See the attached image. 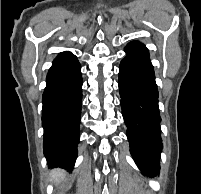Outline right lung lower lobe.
<instances>
[{
	"label": "right lung lower lobe",
	"mask_w": 201,
	"mask_h": 194,
	"mask_svg": "<svg viewBox=\"0 0 201 194\" xmlns=\"http://www.w3.org/2000/svg\"><path fill=\"white\" fill-rule=\"evenodd\" d=\"M81 66L74 57L53 61L42 102L44 155L51 168L72 170L79 141L82 103Z\"/></svg>",
	"instance_id": "1"
}]
</instances>
